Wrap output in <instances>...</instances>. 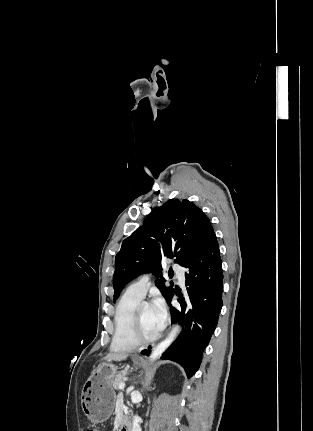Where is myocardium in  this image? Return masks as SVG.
Instances as JSON below:
<instances>
[{
    "instance_id": "1",
    "label": "myocardium",
    "mask_w": 313,
    "mask_h": 431,
    "mask_svg": "<svg viewBox=\"0 0 313 431\" xmlns=\"http://www.w3.org/2000/svg\"><path fill=\"white\" fill-rule=\"evenodd\" d=\"M146 304H138L133 313L131 337L133 341L139 345H146L156 341L160 337V331L152 336H145L142 333L141 310Z\"/></svg>"
}]
</instances>
